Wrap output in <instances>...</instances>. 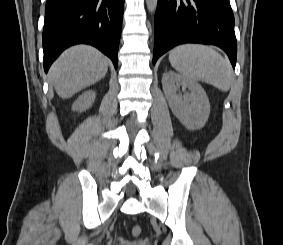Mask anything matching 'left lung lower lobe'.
I'll use <instances>...</instances> for the list:
<instances>
[{
    "instance_id": "1",
    "label": "left lung lower lobe",
    "mask_w": 283,
    "mask_h": 245,
    "mask_svg": "<svg viewBox=\"0 0 283 245\" xmlns=\"http://www.w3.org/2000/svg\"><path fill=\"white\" fill-rule=\"evenodd\" d=\"M153 64L183 43L213 44L223 49L233 68L237 42L229 0H158Z\"/></svg>"
}]
</instances>
